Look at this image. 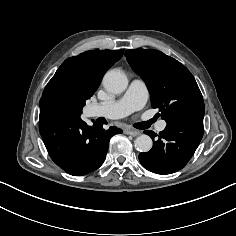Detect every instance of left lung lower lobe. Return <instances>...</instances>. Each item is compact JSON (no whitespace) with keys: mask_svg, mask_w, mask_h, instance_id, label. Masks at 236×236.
Returning <instances> with one entry per match:
<instances>
[{"mask_svg":"<svg viewBox=\"0 0 236 236\" xmlns=\"http://www.w3.org/2000/svg\"><path fill=\"white\" fill-rule=\"evenodd\" d=\"M145 133L152 138L153 147L139 154L142 166L157 174H171L183 168L194 154L203 136V119L188 117L167 122L158 136L153 131Z\"/></svg>","mask_w":236,"mask_h":236,"instance_id":"1","label":"left lung lower lobe"}]
</instances>
